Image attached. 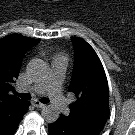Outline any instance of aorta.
Listing matches in <instances>:
<instances>
[{
	"mask_svg": "<svg viewBox=\"0 0 135 135\" xmlns=\"http://www.w3.org/2000/svg\"><path fill=\"white\" fill-rule=\"evenodd\" d=\"M27 71L34 79H41L47 75L48 66L42 59H32L27 65ZM59 114V109L54 105L45 106L41 112L43 119L48 123L57 121Z\"/></svg>",
	"mask_w": 135,
	"mask_h": 135,
	"instance_id": "obj_1",
	"label": "aorta"
}]
</instances>
